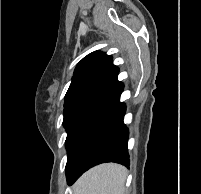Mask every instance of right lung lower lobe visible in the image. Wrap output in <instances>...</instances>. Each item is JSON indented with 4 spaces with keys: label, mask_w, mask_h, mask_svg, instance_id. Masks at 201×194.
I'll list each match as a JSON object with an SVG mask.
<instances>
[{
    "label": "right lung lower lobe",
    "mask_w": 201,
    "mask_h": 194,
    "mask_svg": "<svg viewBox=\"0 0 201 194\" xmlns=\"http://www.w3.org/2000/svg\"><path fill=\"white\" fill-rule=\"evenodd\" d=\"M123 83L90 101L76 116L67 131L69 185L90 167L103 162L128 166V128L123 123L126 105L120 102Z\"/></svg>",
    "instance_id": "right-lung-lower-lobe-1"
}]
</instances>
